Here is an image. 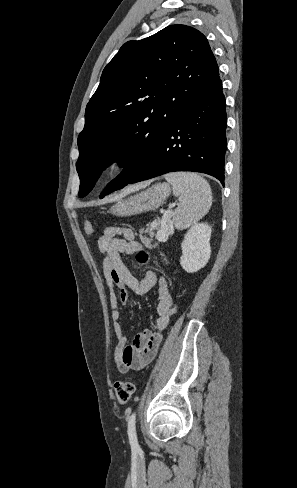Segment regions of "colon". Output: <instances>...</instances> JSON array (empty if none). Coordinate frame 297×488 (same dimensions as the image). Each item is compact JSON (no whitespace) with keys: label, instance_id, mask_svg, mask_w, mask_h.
<instances>
[{"label":"colon","instance_id":"5ec220e1","mask_svg":"<svg viewBox=\"0 0 297 488\" xmlns=\"http://www.w3.org/2000/svg\"><path fill=\"white\" fill-rule=\"evenodd\" d=\"M84 228L88 235L93 234L94 227L90 222H86ZM137 258L140 263H145L148 260V255L146 254V252H141L138 253ZM114 391L117 401L120 404H126L131 400L135 393V383L131 379L117 381L114 384Z\"/></svg>","mask_w":297,"mask_h":488}]
</instances>
